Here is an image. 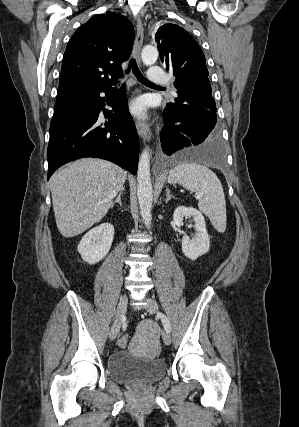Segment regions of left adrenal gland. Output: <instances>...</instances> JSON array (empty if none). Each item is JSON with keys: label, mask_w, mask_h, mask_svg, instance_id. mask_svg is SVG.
<instances>
[{"label": "left adrenal gland", "mask_w": 299, "mask_h": 427, "mask_svg": "<svg viewBox=\"0 0 299 427\" xmlns=\"http://www.w3.org/2000/svg\"><path fill=\"white\" fill-rule=\"evenodd\" d=\"M166 200H165V202L167 203L171 198H174L175 199V197L173 196V195H171L170 194V189L169 188H167L166 189Z\"/></svg>", "instance_id": "left-adrenal-gland-1"}]
</instances>
